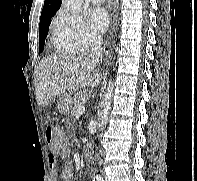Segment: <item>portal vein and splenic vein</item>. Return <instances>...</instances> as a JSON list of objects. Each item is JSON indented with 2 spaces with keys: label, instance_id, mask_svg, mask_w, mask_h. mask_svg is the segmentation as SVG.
Segmentation results:
<instances>
[{
  "label": "portal vein and splenic vein",
  "instance_id": "portal-vein-and-splenic-vein-1",
  "mask_svg": "<svg viewBox=\"0 0 197 181\" xmlns=\"http://www.w3.org/2000/svg\"><path fill=\"white\" fill-rule=\"evenodd\" d=\"M84 111H85V107L79 106L77 111V116H81L84 113Z\"/></svg>",
  "mask_w": 197,
  "mask_h": 181
}]
</instances>
